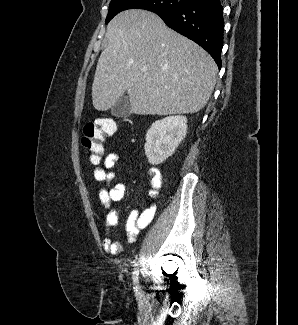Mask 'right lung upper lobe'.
<instances>
[{
	"label": "right lung upper lobe",
	"mask_w": 298,
	"mask_h": 325,
	"mask_svg": "<svg viewBox=\"0 0 298 325\" xmlns=\"http://www.w3.org/2000/svg\"><path fill=\"white\" fill-rule=\"evenodd\" d=\"M162 11H163V10H157L156 12H157V13H160V12H162Z\"/></svg>",
	"instance_id": "right-lung-upper-lobe-1"
}]
</instances>
